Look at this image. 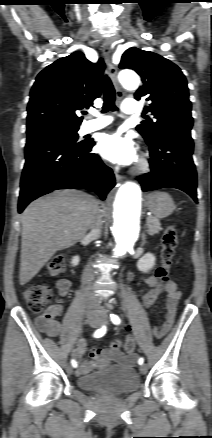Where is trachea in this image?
I'll list each match as a JSON object with an SVG mask.
<instances>
[{
  "label": "trachea",
  "instance_id": "3493384b",
  "mask_svg": "<svg viewBox=\"0 0 212 438\" xmlns=\"http://www.w3.org/2000/svg\"><path fill=\"white\" fill-rule=\"evenodd\" d=\"M103 91H104V96H103L102 113L118 110L115 105V89L110 78L107 75L104 77Z\"/></svg>",
  "mask_w": 212,
  "mask_h": 438
}]
</instances>
